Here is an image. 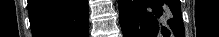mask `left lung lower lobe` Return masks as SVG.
Instances as JSON below:
<instances>
[{
  "label": "left lung lower lobe",
  "instance_id": "0a47b994",
  "mask_svg": "<svg viewBox=\"0 0 219 37\" xmlns=\"http://www.w3.org/2000/svg\"><path fill=\"white\" fill-rule=\"evenodd\" d=\"M124 37H184L179 0H119Z\"/></svg>",
  "mask_w": 219,
  "mask_h": 37
}]
</instances>
